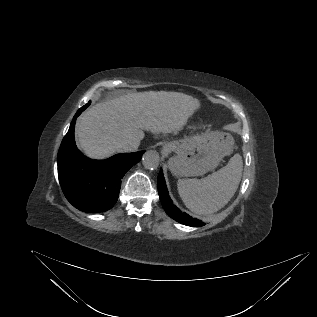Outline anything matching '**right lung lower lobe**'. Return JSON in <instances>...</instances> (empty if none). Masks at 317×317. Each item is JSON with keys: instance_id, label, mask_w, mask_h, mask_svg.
Instances as JSON below:
<instances>
[{"instance_id": "1", "label": "right lung lower lobe", "mask_w": 317, "mask_h": 317, "mask_svg": "<svg viewBox=\"0 0 317 317\" xmlns=\"http://www.w3.org/2000/svg\"><path fill=\"white\" fill-rule=\"evenodd\" d=\"M87 108H80L63 138L58 151V178L67 200L85 212H104L116 203L121 179L142 157L144 151L115 155L97 161L85 157L76 147V118Z\"/></svg>"}]
</instances>
